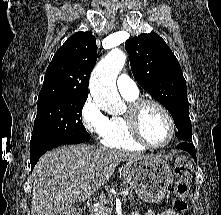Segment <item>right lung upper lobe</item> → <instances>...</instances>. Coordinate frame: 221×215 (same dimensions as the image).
<instances>
[{"label": "right lung upper lobe", "mask_w": 221, "mask_h": 215, "mask_svg": "<svg viewBox=\"0 0 221 215\" xmlns=\"http://www.w3.org/2000/svg\"><path fill=\"white\" fill-rule=\"evenodd\" d=\"M97 57L96 39L91 33L76 32L69 37L46 70L38 102L60 97L87 98Z\"/></svg>", "instance_id": "cb5924a9"}]
</instances>
